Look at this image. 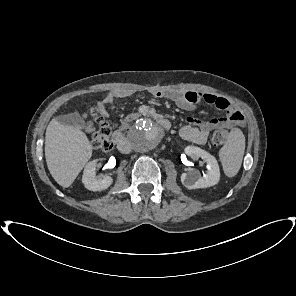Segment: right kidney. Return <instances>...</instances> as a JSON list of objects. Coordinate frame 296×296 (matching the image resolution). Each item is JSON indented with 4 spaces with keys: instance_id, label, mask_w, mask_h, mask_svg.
I'll list each match as a JSON object with an SVG mask.
<instances>
[{
    "instance_id": "obj_1",
    "label": "right kidney",
    "mask_w": 296,
    "mask_h": 296,
    "mask_svg": "<svg viewBox=\"0 0 296 296\" xmlns=\"http://www.w3.org/2000/svg\"><path fill=\"white\" fill-rule=\"evenodd\" d=\"M97 160H92L84 168L82 183L85 188L90 191H102L107 189L112 183L113 179L110 176H106L100 179L96 175Z\"/></svg>"
}]
</instances>
